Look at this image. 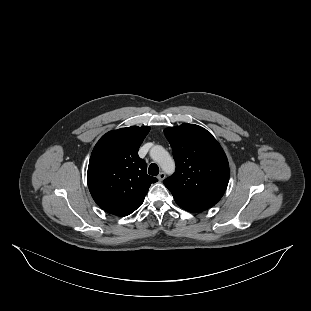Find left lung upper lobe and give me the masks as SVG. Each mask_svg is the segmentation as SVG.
Segmentation results:
<instances>
[{"instance_id":"1","label":"left lung upper lobe","mask_w":311,"mask_h":311,"mask_svg":"<svg viewBox=\"0 0 311 311\" xmlns=\"http://www.w3.org/2000/svg\"><path fill=\"white\" fill-rule=\"evenodd\" d=\"M176 163L174 174L163 183L176 201L211 208L223 196L229 164L220 144L206 129L182 124L164 130Z\"/></svg>"}]
</instances>
